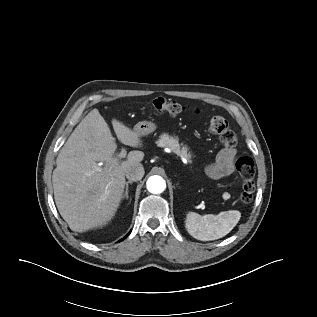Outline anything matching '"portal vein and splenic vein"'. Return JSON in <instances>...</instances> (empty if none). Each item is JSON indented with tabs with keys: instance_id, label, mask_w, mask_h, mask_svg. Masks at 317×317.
Returning <instances> with one entry per match:
<instances>
[{
	"instance_id": "1",
	"label": "portal vein and splenic vein",
	"mask_w": 317,
	"mask_h": 317,
	"mask_svg": "<svg viewBox=\"0 0 317 317\" xmlns=\"http://www.w3.org/2000/svg\"><path fill=\"white\" fill-rule=\"evenodd\" d=\"M126 153H127V152H126V149L123 148V149L121 150V152L119 153L118 157H119V158H124V157L126 156Z\"/></svg>"
}]
</instances>
